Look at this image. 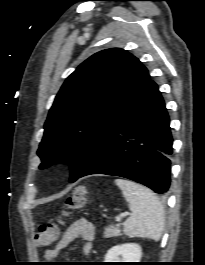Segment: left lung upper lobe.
Segmentation results:
<instances>
[{"mask_svg": "<svg viewBox=\"0 0 205 265\" xmlns=\"http://www.w3.org/2000/svg\"><path fill=\"white\" fill-rule=\"evenodd\" d=\"M149 74L132 54L100 51L64 82L44 125L41 169L68 161L73 182L144 93Z\"/></svg>", "mask_w": 205, "mask_h": 265, "instance_id": "left-lung-upper-lobe-1", "label": "left lung upper lobe"}]
</instances>
